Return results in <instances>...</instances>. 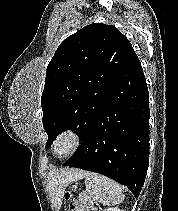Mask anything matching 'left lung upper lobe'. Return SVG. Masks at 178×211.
I'll use <instances>...</instances> for the list:
<instances>
[{"instance_id":"1","label":"left lung upper lobe","mask_w":178,"mask_h":211,"mask_svg":"<svg viewBox=\"0 0 178 211\" xmlns=\"http://www.w3.org/2000/svg\"><path fill=\"white\" fill-rule=\"evenodd\" d=\"M135 55L115 26L88 25L66 38L46 71L41 97L46 147L74 129L83 141L102 112L114 82Z\"/></svg>"}]
</instances>
